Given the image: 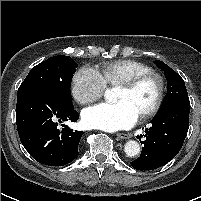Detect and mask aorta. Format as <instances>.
<instances>
[{
  "mask_svg": "<svg viewBox=\"0 0 201 201\" xmlns=\"http://www.w3.org/2000/svg\"><path fill=\"white\" fill-rule=\"evenodd\" d=\"M113 96L114 95L111 90H106L105 97L107 100H111ZM124 151L127 156L134 157V156L138 155V153L140 152V145L137 141L130 140V141L126 142Z\"/></svg>",
  "mask_w": 201,
  "mask_h": 201,
  "instance_id": "1",
  "label": "aorta"
}]
</instances>
